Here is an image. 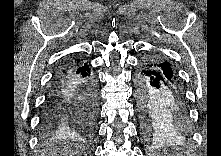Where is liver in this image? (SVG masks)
I'll return each mask as SVG.
<instances>
[{"label": "liver", "instance_id": "6515ba94", "mask_svg": "<svg viewBox=\"0 0 221 156\" xmlns=\"http://www.w3.org/2000/svg\"><path fill=\"white\" fill-rule=\"evenodd\" d=\"M50 150L54 153L59 152L60 154H63L64 156L79 155V147L73 143H63L58 148L53 147V149H50Z\"/></svg>", "mask_w": 221, "mask_h": 156}]
</instances>
